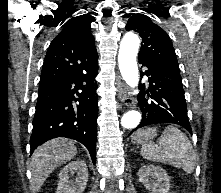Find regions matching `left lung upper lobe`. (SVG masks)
<instances>
[{
  "label": "left lung upper lobe",
  "instance_id": "5c2ea615",
  "mask_svg": "<svg viewBox=\"0 0 221 193\" xmlns=\"http://www.w3.org/2000/svg\"><path fill=\"white\" fill-rule=\"evenodd\" d=\"M126 30H134L142 38L139 58L148 59L172 69L179 70L175 50L167 33L144 14H133Z\"/></svg>",
  "mask_w": 221,
  "mask_h": 193
}]
</instances>
